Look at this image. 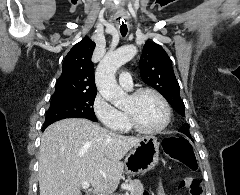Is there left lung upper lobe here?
<instances>
[{"mask_svg":"<svg viewBox=\"0 0 240 195\" xmlns=\"http://www.w3.org/2000/svg\"><path fill=\"white\" fill-rule=\"evenodd\" d=\"M139 67L142 80L159 91L178 114L185 116V106L179 92L180 87L171 60L164 49L153 42H146ZM179 131L190 137L187 123L183 124Z\"/></svg>","mask_w":240,"mask_h":195,"instance_id":"5c2ea615","label":"left lung upper lobe"}]
</instances>
